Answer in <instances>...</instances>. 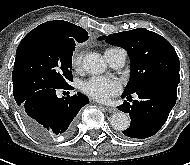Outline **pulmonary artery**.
Returning a JSON list of instances; mask_svg holds the SVG:
<instances>
[{
    "mask_svg": "<svg viewBox=\"0 0 190 165\" xmlns=\"http://www.w3.org/2000/svg\"><path fill=\"white\" fill-rule=\"evenodd\" d=\"M126 60V52L122 49H113L108 54V62L113 68H121Z\"/></svg>",
    "mask_w": 190,
    "mask_h": 165,
    "instance_id": "obj_1",
    "label": "pulmonary artery"
}]
</instances>
